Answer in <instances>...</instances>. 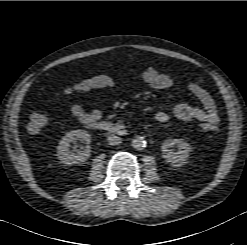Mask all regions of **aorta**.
<instances>
[{
    "label": "aorta",
    "mask_w": 247,
    "mask_h": 245,
    "mask_svg": "<svg viewBox=\"0 0 247 245\" xmlns=\"http://www.w3.org/2000/svg\"><path fill=\"white\" fill-rule=\"evenodd\" d=\"M132 147L138 151L143 150L146 147V141L141 136H135L132 139Z\"/></svg>",
    "instance_id": "1"
}]
</instances>
